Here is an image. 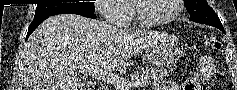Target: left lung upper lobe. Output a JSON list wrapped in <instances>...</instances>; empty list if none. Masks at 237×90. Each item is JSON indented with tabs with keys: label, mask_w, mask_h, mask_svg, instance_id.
<instances>
[{
	"label": "left lung upper lobe",
	"mask_w": 237,
	"mask_h": 90,
	"mask_svg": "<svg viewBox=\"0 0 237 90\" xmlns=\"http://www.w3.org/2000/svg\"><path fill=\"white\" fill-rule=\"evenodd\" d=\"M190 14L189 20L223 29L219 17L206 0H184Z\"/></svg>",
	"instance_id": "obj_1"
}]
</instances>
